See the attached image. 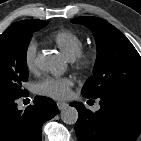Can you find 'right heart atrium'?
Listing matches in <instances>:
<instances>
[{"label": "right heart atrium", "instance_id": "1", "mask_svg": "<svg viewBox=\"0 0 141 141\" xmlns=\"http://www.w3.org/2000/svg\"><path fill=\"white\" fill-rule=\"evenodd\" d=\"M36 51H37V45L34 41H30L25 50H24V65L27 71L33 72L36 68L35 65V58H36Z\"/></svg>", "mask_w": 141, "mask_h": 141}]
</instances>
